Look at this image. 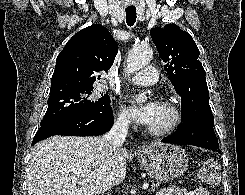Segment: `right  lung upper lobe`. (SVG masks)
Returning <instances> with one entry per match:
<instances>
[{"label":"right lung upper lobe","mask_w":245,"mask_h":195,"mask_svg":"<svg viewBox=\"0 0 245 195\" xmlns=\"http://www.w3.org/2000/svg\"><path fill=\"white\" fill-rule=\"evenodd\" d=\"M118 45L110 32L94 24L76 33L57 57L50 93L70 88L93 86L97 73L111 68Z\"/></svg>","instance_id":"1"}]
</instances>
